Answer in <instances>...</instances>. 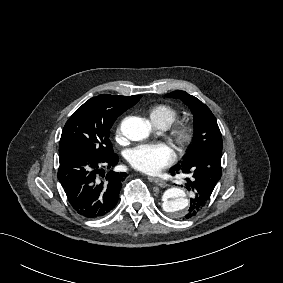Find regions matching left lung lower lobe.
<instances>
[{"label":"left lung lower lobe","mask_w":283,"mask_h":283,"mask_svg":"<svg viewBox=\"0 0 283 283\" xmlns=\"http://www.w3.org/2000/svg\"><path fill=\"white\" fill-rule=\"evenodd\" d=\"M221 156L222 151H209L188 164H178L170 170L172 174L183 172L191 176L190 179H186L188 190L193 192L186 219L195 216L207 204L216 183L221 178Z\"/></svg>","instance_id":"left-lung-lower-lobe-1"}]
</instances>
